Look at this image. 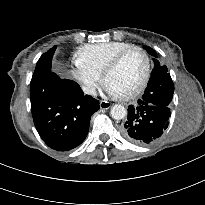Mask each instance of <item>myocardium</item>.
Masks as SVG:
<instances>
[{"label": "myocardium", "instance_id": "obj_1", "mask_svg": "<svg viewBox=\"0 0 205 205\" xmlns=\"http://www.w3.org/2000/svg\"><path fill=\"white\" fill-rule=\"evenodd\" d=\"M131 52H139L145 60V71H144V75L140 81V83L138 84V86L132 90L131 92L125 94V95H120L118 96L119 99L122 100H130L133 99L135 97H137L139 94H141L143 92V90L146 88L150 76H151V70H152V66H151V59L150 56L148 55V53L141 47L138 46H131L123 51H121L120 53H118L109 63L108 65L105 67V69L102 72L101 75V80L102 83L104 85H106V78L108 77V75L110 73H112L121 63V61Z\"/></svg>", "mask_w": 205, "mask_h": 205}]
</instances>
